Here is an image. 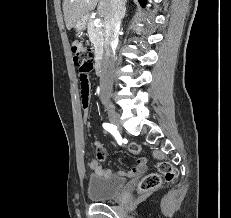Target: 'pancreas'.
<instances>
[{
	"instance_id": "obj_1",
	"label": "pancreas",
	"mask_w": 231,
	"mask_h": 218,
	"mask_svg": "<svg viewBox=\"0 0 231 218\" xmlns=\"http://www.w3.org/2000/svg\"><path fill=\"white\" fill-rule=\"evenodd\" d=\"M87 30L88 35L91 42L94 44L96 53H100L103 49V42H104V30L103 28L96 27L94 25V21L92 19H88L87 23Z\"/></svg>"
}]
</instances>
